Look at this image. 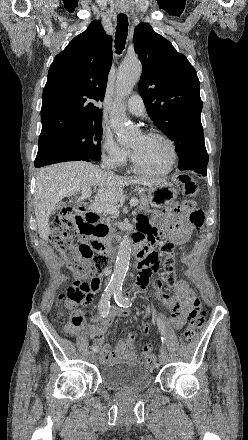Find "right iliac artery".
Wrapping results in <instances>:
<instances>
[{"mask_svg": "<svg viewBox=\"0 0 248 440\" xmlns=\"http://www.w3.org/2000/svg\"><path fill=\"white\" fill-rule=\"evenodd\" d=\"M114 290H115L114 287L109 286V287H106V289L104 290V293L102 294V297H101L99 305H98L99 313L101 314L102 317H106L109 314L110 298H111L112 294L114 293ZM92 350L94 352H98L99 348L97 346H93Z\"/></svg>", "mask_w": 248, "mask_h": 440, "instance_id": "1", "label": "right iliac artery"}]
</instances>
